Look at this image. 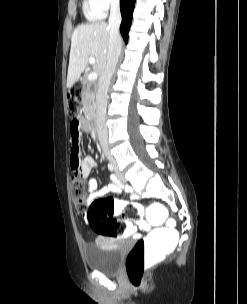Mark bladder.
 <instances>
[{
  "label": "bladder",
  "instance_id": "bladder-1",
  "mask_svg": "<svg viewBox=\"0 0 247 304\" xmlns=\"http://www.w3.org/2000/svg\"><path fill=\"white\" fill-rule=\"evenodd\" d=\"M123 253V245L108 238H100L84 248L87 267L92 271L107 274L118 271Z\"/></svg>",
  "mask_w": 247,
  "mask_h": 304
}]
</instances>
